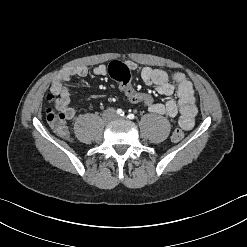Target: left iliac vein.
Masks as SVG:
<instances>
[{"label": "left iliac vein", "instance_id": "4c4485c4", "mask_svg": "<svg viewBox=\"0 0 247 247\" xmlns=\"http://www.w3.org/2000/svg\"><path fill=\"white\" fill-rule=\"evenodd\" d=\"M119 119H122V118H124V117H118Z\"/></svg>", "mask_w": 247, "mask_h": 247}]
</instances>
